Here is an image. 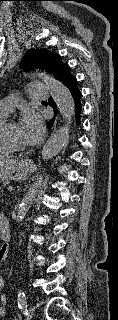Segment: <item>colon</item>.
<instances>
[{"mask_svg": "<svg viewBox=\"0 0 118 320\" xmlns=\"http://www.w3.org/2000/svg\"><path fill=\"white\" fill-rule=\"evenodd\" d=\"M4 256H5V255H4V252L1 251V252H0V261H2V260L4 259Z\"/></svg>", "mask_w": 118, "mask_h": 320, "instance_id": "1", "label": "colon"}]
</instances>
